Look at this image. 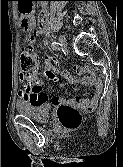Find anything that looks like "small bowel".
Returning <instances> with one entry per match:
<instances>
[{
  "mask_svg": "<svg viewBox=\"0 0 123 167\" xmlns=\"http://www.w3.org/2000/svg\"><path fill=\"white\" fill-rule=\"evenodd\" d=\"M17 5H19V14L23 15L22 27L24 29L30 30L32 27V20L29 17L31 14V9H33V5H31V1H17ZM41 31H35L32 35H29L26 38V43L28 46H33L35 42V36L40 34ZM54 58L50 55H47L44 59V67H43V75L49 79H53L55 77V69L53 66ZM62 74L67 78L69 83L71 84H83L89 85L94 88V92L90 98H71V99H62L57 95H53L50 99L51 103L57 106H68L72 108H80L84 111L93 110L100 97V93L102 91V84L97 80L95 75L88 71L84 72L83 78L79 79L75 76H70L67 70L63 69ZM39 70L36 69L32 73L21 74L20 81L24 84L18 91L20 98L25 101L31 103H39V102H48V96L45 92H43L42 84L38 81Z\"/></svg>",
  "mask_w": 123,
  "mask_h": 167,
  "instance_id": "small-bowel-1",
  "label": "small bowel"
}]
</instances>
